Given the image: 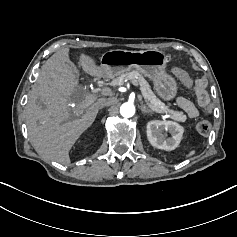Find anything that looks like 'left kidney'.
<instances>
[{
    "label": "left kidney",
    "instance_id": "obj_1",
    "mask_svg": "<svg viewBox=\"0 0 237 237\" xmlns=\"http://www.w3.org/2000/svg\"><path fill=\"white\" fill-rule=\"evenodd\" d=\"M164 130L169 131L170 138H165ZM183 133L184 128L177 122L153 120L147 123V138L150 144L158 149L166 151L176 149L181 142Z\"/></svg>",
    "mask_w": 237,
    "mask_h": 237
}]
</instances>
